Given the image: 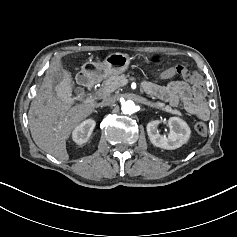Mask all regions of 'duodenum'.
Masks as SVG:
<instances>
[{
  "mask_svg": "<svg viewBox=\"0 0 237 237\" xmlns=\"http://www.w3.org/2000/svg\"><path fill=\"white\" fill-rule=\"evenodd\" d=\"M100 77V70L96 66L89 65L79 74L78 80L81 85L92 87L99 81Z\"/></svg>",
  "mask_w": 237,
  "mask_h": 237,
  "instance_id": "410a0bca",
  "label": "duodenum"
}]
</instances>
